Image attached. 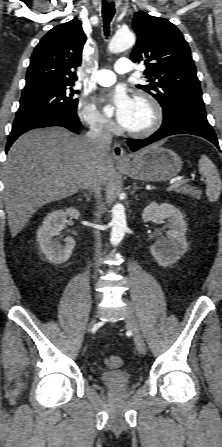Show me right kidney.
I'll use <instances>...</instances> for the list:
<instances>
[{"label": "right kidney", "instance_id": "obj_1", "mask_svg": "<svg viewBox=\"0 0 222 447\" xmlns=\"http://www.w3.org/2000/svg\"><path fill=\"white\" fill-rule=\"evenodd\" d=\"M68 217L78 219L80 212L73 207L52 211L46 216L42 226L37 230V241L40 249L46 258L54 264L66 262L75 246V240L71 237L66 238L65 246H61L58 240L53 238L66 227Z\"/></svg>", "mask_w": 222, "mask_h": 447}]
</instances>
